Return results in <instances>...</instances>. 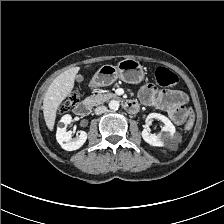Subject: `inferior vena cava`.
Wrapping results in <instances>:
<instances>
[{
    "mask_svg": "<svg viewBox=\"0 0 224 224\" xmlns=\"http://www.w3.org/2000/svg\"><path fill=\"white\" fill-rule=\"evenodd\" d=\"M107 111V107L106 106H98L95 108V114L96 115H101L103 113H105Z\"/></svg>",
    "mask_w": 224,
    "mask_h": 224,
    "instance_id": "602c4592",
    "label": "inferior vena cava"
}]
</instances>
